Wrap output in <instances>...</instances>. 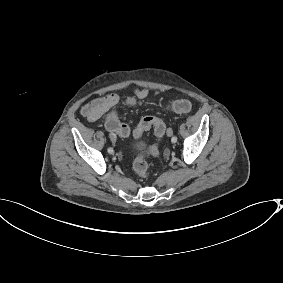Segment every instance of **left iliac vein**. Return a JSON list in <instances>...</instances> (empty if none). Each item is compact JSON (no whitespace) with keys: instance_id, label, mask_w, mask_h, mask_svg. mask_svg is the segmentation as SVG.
Returning <instances> with one entry per match:
<instances>
[{"instance_id":"left-iliac-vein-1","label":"left iliac vein","mask_w":283,"mask_h":283,"mask_svg":"<svg viewBox=\"0 0 283 283\" xmlns=\"http://www.w3.org/2000/svg\"><path fill=\"white\" fill-rule=\"evenodd\" d=\"M173 134V130L171 129V128H169L168 130H167V135L168 136H171Z\"/></svg>"}]
</instances>
